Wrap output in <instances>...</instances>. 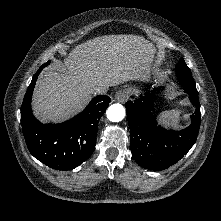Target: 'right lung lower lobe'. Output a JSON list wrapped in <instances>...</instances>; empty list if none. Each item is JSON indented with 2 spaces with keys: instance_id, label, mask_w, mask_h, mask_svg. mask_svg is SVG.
Segmentation results:
<instances>
[{
  "instance_id": "1",
  "label": "right lung lower lobe",
  "mask_w": 221,
  "mask_h": 221,
  "mask_svg": "<svg viewBox=\"0 0 221 221\" xmlns=\"http://www.w3.org/2000/svg\"><path fill=\"white\" fill-rule=\"evenodd\" d=\"M39 69L33 76L21 106L22 131L30 153L50 168L70 170L86 161L95 149L98 121L111 99L96 96L73 119L42 124L32 114L31 97Z\"/></svg>"
}]
</instances>
